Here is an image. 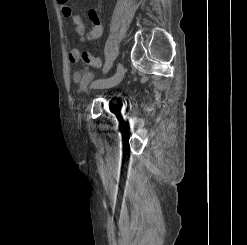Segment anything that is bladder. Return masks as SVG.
<instances>
[{"label":"bladder","mask_w":247,"mask_h":245,"mask_svg":"<svg viewBox=\"0 0 247 245\" xmlns=\"http://www.w3.org/2000/svg\"><path fill=\"white\" fill-rule=\"evenodd\" d=\"M76 78L79 81L82 91L88 92V87L91 85L90 82L92 79L91 73L88 71H82L76 75Z\"/></svg>","instance_id":"bladder-1"}]
</instances>
